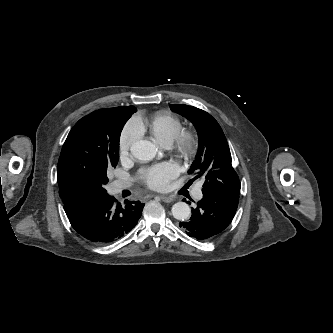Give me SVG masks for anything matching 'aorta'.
Returning <instances> with one entry per match:
<instances>
[{
  "label": "aorta",
  "instance_id": "aorta-1",
  "mask_svg": "<svg viewBox=\"0 0 333 333\" xmlns=\"http://www.w3.org/2000/svg\"><path fill=\"white\" fill-rule=\"evenodd\" d=\"M132 155L141 161L152 160L157 152L156 146L147 140L136 141L131 146ZM172 215L178 220H187L190 217L191 210L185 202H177L172 206Z\"/></svg>",
  "mask_w": 333,
  "mask_h": 333
}]
</instances>
